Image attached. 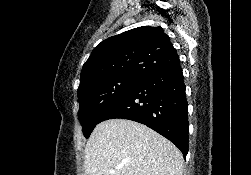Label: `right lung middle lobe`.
Masks as SVG:
<instances>
[{
  "label": "right lung middle lobe",
  "instance_id": "1",
  "mask_svg": "<svg viewBox=\"0 0 251 175\" xmlns=\"http://www.w3.org/2000/svg\"><path fill=\"white\" fill-rule=\"evenodd\" d=\"M140 80L136 77L120 76L107 82L78 88V117L85 138H89L95 126L100 123L101 116Z\"/></svg>",
  "mask_w": 251,
  "mask_h": 175
}]
</instances>
